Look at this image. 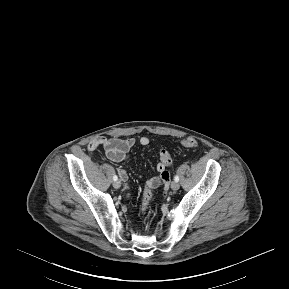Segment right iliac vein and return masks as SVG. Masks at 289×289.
Listing matches in <instances>:
<instances>
[{
	"mask_svg": "<svg viewBox=\"0 0 289 289\" xmlns=\"http://www.w3.org/2000/svg\"><path fill=\"white\" fill-rule=\"evenodd\" d=\"M120 186H121V182L119 180H116V181L113 182V187L115 189H119Z\"/></svg>",
	"mask_w": 289,
	"mask_h": 289,
	"instance_id": "63e3f726",
	"label": "right iliac vein"
}]
</instances>
